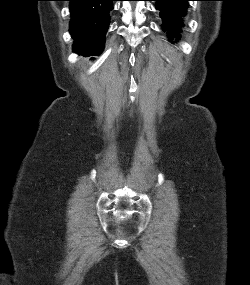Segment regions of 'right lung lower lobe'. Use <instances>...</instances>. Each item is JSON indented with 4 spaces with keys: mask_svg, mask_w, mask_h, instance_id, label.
I'll list each match as a JSON object with an SVG mask.
<instances>
[{
    "mask_svg": "<svg viewBox=\"0 0 250 285\" xmlns=\"http://www.w3.org/2000/svg\"><path fill=\"white\" fill-rule=\"evenodd\" d=\"M70 1V33L74 38L73 50L84 56L98 55L103 49L109 26L112 1Z\"/></svg>",
    "mask_w": 250,
    "mask_h": 285,
    "instance_id": "98d812e1",
    "label": "right lung lower lobe"
}]
</instances>
